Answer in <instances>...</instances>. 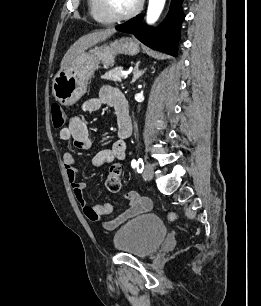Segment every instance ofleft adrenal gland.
Returning a JSON list of instances; mask_svg holds the SVG:
<instances>
[{
    "instance_id": "obj_1",
    "label": "left adrenal gland",
    "mask_w": 261,
    "mask_h": 306,
    "mask_svg": "<svg viewBox=\"0 0 261 306\" xmlns=\"http://www.w3.org/2000/svg\"><path fill=\"white\" fill-rule=\"evenodd\" d=\"M139 63H140V62H138V63L136 64L135 68H134V71H133V78H132L131 83L136 82L137 79H139V77L142 76L143 73H144L145 70H146V69H144V70H139Z\"/></svg>"
}]
</instances>
